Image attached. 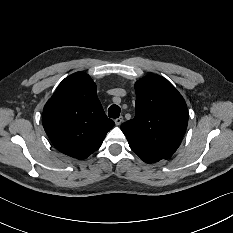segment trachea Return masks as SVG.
<instances>
[{"mask_svg":"<svg viewBox=\"0 0 233 233\" xmlns=\"http://www.w3.org/2000/svg\"><path fill=\"white\" fill-rule=\"evenodd\" d=\"M120 107L118 105H111L108 109V116L110 118H118L120 116Z\"/></svg>","mask_w":233,"mask_h":233,"instance_id":"3493384b","label":"trachea"}]
</instances>
